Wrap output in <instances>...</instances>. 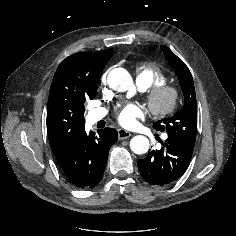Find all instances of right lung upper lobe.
<instances>
[{
	"label": "right lung upper lobe",
	"instance_id": "obj_1",
	"mask_svg": "<svg viewBox=\"0 0 236 236\" xmlns=\"http://www.w3.org/2000/svg\"><path fill=\"white\" fill-rule=\"evenodd\" d=\"M112 53L113 49L76 53L58 66L47 108L48 138L58 161L65 157L79 131L85 127L86 90L99 81Z\"/></svg>",
	"mask_w": 236,
	"mask_h": 236
}]
</instances>
